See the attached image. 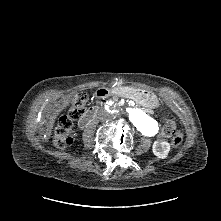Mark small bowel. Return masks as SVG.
<instances>
[{"label": "small bowel", "mask_w": 221, "mask_h": 221, "mask_svg": "<svg viewBox=\"0 0 221 221\" xmlns=\"http://www.w3.org/2000/svg\"><path fill=\"white\" fill-rule=\"evenodd\" d=\"M64 105H65V101L61 102V103L59 104V107L61 108V107H63Z\"/></svg>", "instance_id": "1"}]
</instances>
